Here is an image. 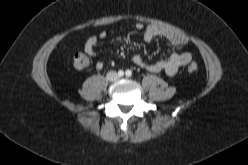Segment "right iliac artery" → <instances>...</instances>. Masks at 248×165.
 Instances as JSON below:
<instances>
[{
  "label": "right iliac artery",
  "mask_w": 248,
  "mask_h": 165,
  "mask_svg": "<svg viewBox=\"0 0 248 165\" xmlns=\"http://www.w3.org/2000/svg\"><path fill=\"white\" fill-rule=\"evenodd\" d=\"M118 75L119 76H123L124 75V72L122 70L118 71Z\"/></svg>",
  "instance_id": "82829eb1"
}]
</instances>
